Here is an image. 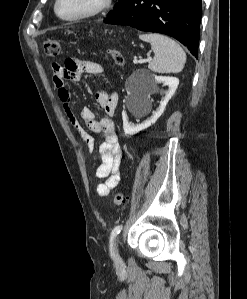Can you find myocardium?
<instances>
[{
  "label": "myocardium",
  "mask_w": 247,
  "mask_h": 299,
  "mask_svg": "<svg viewBox=\"0 0 247 299\" xmlns=\"http://www.w3.org/2000/svg\"><path fill=\"white\" fill-rule=\"evenodd\" d=\"M61 1L62 0H55L54 13L59 19L66 21V22H76V21L94 17V16L100 14L101 12H103L105 9H107L111 3V0H96L92 4V6L90 8H88L87 10H85L79 14L66 17V16L61 15L59 12V5H60Z\"/></svg>",
  "instance_id": "myocardium-1"
}]
</instances>
